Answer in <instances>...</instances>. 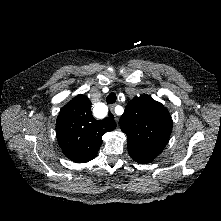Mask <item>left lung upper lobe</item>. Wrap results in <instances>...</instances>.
<instances>
[{"mask_svg":"<svg viewBox=\"0 0 221 221\" xmlns=\"http://www.w3.org/2000/svg\"><path fill=\"white\" fill-rule=\"evenodd\" d=\"M127 135L129 155L138 163H150L166 146L172 119L168 110L149 95L132 99L120 118Z\"/></svg>","mask_w":221,"mask_h":221,"instance_id":"left-lung-upper-lobe-1","label":"left lung upper lobe"}]
</instances>
